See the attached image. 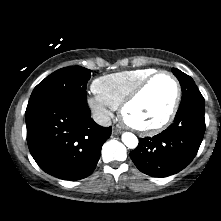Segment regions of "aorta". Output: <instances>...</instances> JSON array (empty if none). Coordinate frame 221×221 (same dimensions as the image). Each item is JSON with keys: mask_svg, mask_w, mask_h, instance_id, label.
<instances>
[{"mask_svg": "<svg viewBox=\"0 0 221 221\" xmlns=\"http://www.w3.org/2000/svg\"><path fill=\"white\" fill-rule=\"evenodd\" d=\"M122 142L130 149H134L138 145L137 137L130 132H125L122 134Z\"/></svg>", "mask_w": 221, "mask_h": 221, "instance_id": "obj_1", "label": "aorta"}]
</instances>
